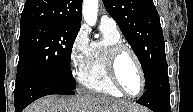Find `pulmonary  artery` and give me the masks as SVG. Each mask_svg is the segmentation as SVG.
I'll list each match as a JSON object with an SVG mask.
<instances>
[{"mask_svg":"<svg viewBox=\"0 0 193 112\" xmlns=\"http://www.w3.org/2000/svg\"><path fill=\"white\" fill-rule=\"evenodd\" d=\"M100 27L103 28H108L110 30L118 31L117 23L116 21L108 16V15H103L100 19Z\"/></svg>","mask_w":193,"mask_h":112,"instance_id":"1","label":"pulmonary artery"}]
</instances>
